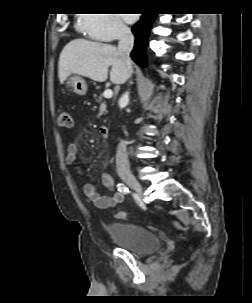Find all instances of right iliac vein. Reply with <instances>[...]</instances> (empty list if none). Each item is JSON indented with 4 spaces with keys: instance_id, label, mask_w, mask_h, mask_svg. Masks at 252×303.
<instances>
[{
    "instance_id": "obj_1",
    "label": "right iliac vein",
    "mask_w": 252,
    "mask_h": 303,
    "mask_svg": "<svg viewBox=\"0 0 252 303\" xmlns=\"http://www.w3.org/2000/svg\"><path fill=\"white\" fill-rule=\"evenodd\" d=\"M121 178L124 182H126L133 190L138 193H142V186L139 181L131 174L125 173L121 175Z\"/></svg>"
}]
</instances>
